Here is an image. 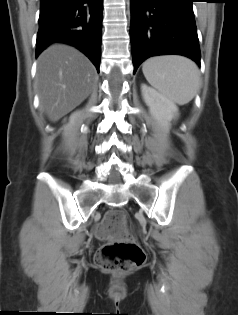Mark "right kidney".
Here are the masks:
<instances>
[{
    "label": "right kidney",
    "instance_id": "obj_1",
    "mask_svg": "<svg viewBox=\"0 0 238 315\" xmlns=\"http://www.w3.org/2000/svg\"><path fill=\"white\" fill-rule=\"evenodd\" d=\"M78 115H79V113L76 112V113H73V114L70 116L69 125H71V124L74 123V121H75V119L77 118ZM69 125H68V126H69Z\"/></svg>",
    "mask_w": 238,
    "mask_h": 315
}]
</instances>
